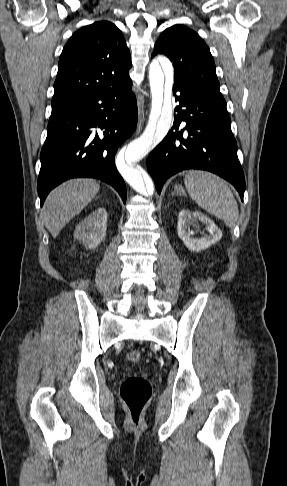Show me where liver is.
<instances>
[{
	"label": "liver",
	"mask_w": 287,
	"mask_h": 486,
	"mask_svg": "<svg viewBox=\"0 0 287 486\" xmlns=\"http://www.w3.org/2000/svg\"><path fill=\"white\" fill-rule=\"evenodd\" d=\"M100 189L94 179H71L55 188L46 198L42 215L46 228L55 238L78 215Z\"/></svg>",
	"instance_id": "6515ba94"
}]
</instances>
